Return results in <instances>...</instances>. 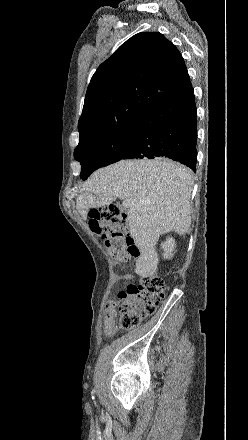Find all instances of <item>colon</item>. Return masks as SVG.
Wrapping results in <instances>:
<instances>
[{"instance_id": "1", "label": "colon", "mask_w": 248, "mask_h": 440, "mask_svg": "<svg viewBox=\"0 0 248 440\" xmlns=\"http://www.w3.org/2000/svg\"><path fill=\"white\" fill-rule=\"evenodd\" d=\"M90 227L101 234L111 255L119 262L137 257L139 252L129 236L126 215L116 205L95 209L90 213ZM165 283L154 274H143L137 284L129 285L116 295L114 305L120 313V326L125 330L137 327L153 315L165 293Z\"/></svg>"}]
</instances>
